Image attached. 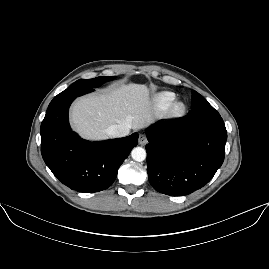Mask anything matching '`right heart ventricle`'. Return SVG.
I'll return each instance as SVG.
<instances>
[{
	"instance_id": "obj_1",
	"label": "right heart ventricle",
	"mask_w": 269,
	"mask_h": 269,
	"mask_svg": "<svg viewBox=\"0 0 269 269\" xmlns=\"http://www.w3.org/2000/svg\"><path fill=\"white\" fill-rule=\"evenodd\" d=\"M176 100V95L172 92L163 91L155 95L154 105L160 110L169 109Z\"/></svg>"
}]
</instances>
